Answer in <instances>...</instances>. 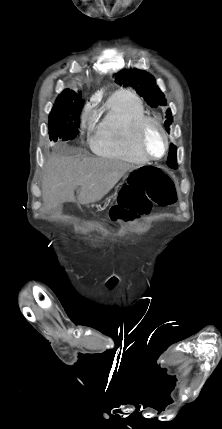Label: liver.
Listing matches in <instances>:
<instances>
[{"label":"liver","instance_id":"obj_1","mask_svg":"<svg viewBox=\"0 0 222 429\" xmlns=\"http://www.w3.org/2000/svg\"><path fill=\"white\" fill-rule=\"evenodd\" d=\"M134 165L117 159L76 156H51L44 167L42 198L46 210L64 202L88 205L101 200Z\"/></svg>","mask_w":222,"mask_h":429}]
</instances>
